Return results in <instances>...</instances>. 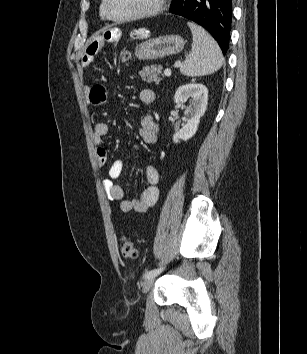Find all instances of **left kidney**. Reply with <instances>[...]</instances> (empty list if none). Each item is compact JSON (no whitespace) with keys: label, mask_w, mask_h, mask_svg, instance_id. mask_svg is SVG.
Instances as JSON below:
<instances>
[{"label":"left kidney","mask_w":307,"mask_h":354,"mask_svg":"<svg viewBox=\"0 0 307 354\" xmlns=\"http://www.w3.org/2000/svg\"><path fill=\"white\" fill-rule=\"evenodd\" d=\"M190 99L191 105L184 107L183 103ZM174 102L177 107L184 109L187 123L173 135V141L179 143L180 140L187 141L193 137L198 129L200 118L204 115L208 103V90L202 84L190 83L180 86L175 95Z\"/></svg>","instance_id":"obj_1"}]
</instances>
